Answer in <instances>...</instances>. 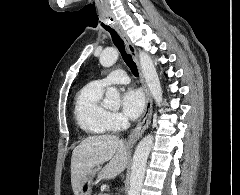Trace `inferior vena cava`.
<instances>
[{"label":"inferior vena cava","instance_id":"602c4592","mask_svg":"<svg viewBox=\"0 0 240 195\" xmlns=\"http://www.w3.org/2000/svg\"><path fill=\"white\" fill-rule=\"evenodd\" d=\"M122 127H123V129H127V127H130V123H129L128 119H123Z\"/></svg>","mask_w":240,"mask_h":195}]
</instances>
